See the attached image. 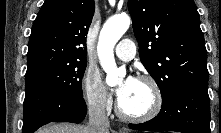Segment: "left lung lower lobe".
Listing matches in <instances>:
<instances>
[{
  "instance_id": "left-lung-lower-lobe-1",
  "label": "left lung lower lobe",
  "mask_w": 221,
  "mask_h": 133,
  "mask_svg": "<svg viewBox=\"0 0 221 133\" xmlns=\"http://www.w3.org/2000/svg\"><path fill=\"white\" fill-rule=\"evenodd\" d=\"M207 87L208 82L182 83L162 99V109L155 118L142 124H129V127L141 131L210 133V100Z\"/></svg>"
}]
</instances>
